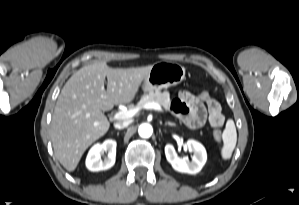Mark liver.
I'll return each instance as SVG.
<instances>
[{
    "instance_id": "liver-1",
    "label": "liver",
    "mask_w": 299,
    "mask_h": 205,
    "mask_svg": "<svg viewBox=\"0 0 299 205\" xmlns=\"http://www.w3.org/2000/svg\"><path fill=\"white\" fill-rule=\"evenodd\" d=\"M151 68H111L96 62L69 78L58 97L50 130L55 156L66 170L74 171L85 150L109 130L102 111L131 102Z\"/></svg>"
}]
</instances>
